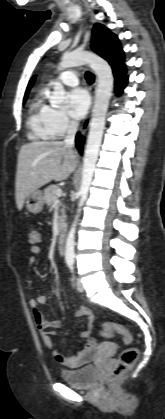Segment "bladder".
Returning a JSON list of instances; mask_svg holds the SVG:
<instances>
[{
    "label": "bladder",
    "instance_id": "31cf9c89",
    "mask_svg": "<svg viewBox=\"0 0 165 419\" xmlns=\"http://www.w3.org/2000/svg\"><path fill=\"white\" fill-rule=\"evenodd\" d=\"M62 380L74 388H90L98 380V368L96 365H88L79 369L62 371Z\"/></svg>",
    "mask_w": 165,
    "mask_h": 419
}]
</instances>
